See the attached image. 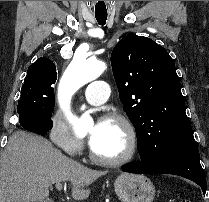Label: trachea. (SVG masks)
Listing matches in <instances>:
<instances>
[{
	"mask_svg": "<svg viewBox=\"0 0 209 202\" xmlns=\"http://www.w3.org/2000/svg\"><path fill=\"white\" fill-rule=\"evenodd\" d=\"M95 18L97 20V22L100 24V25H105L106 23V20H107V15H95Z\"/></svg>",
	"mask_w": 209,
	"mask_h": 202,
	"instance_id": "1",
	"label": "trachea"
}]
</instances>
